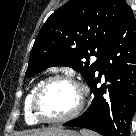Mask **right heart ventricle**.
<instances>
[{
    "instance_id": "obj_1",
    "label": "right heart ventricle",
    "mask_w": 136,
    "mask_h": 136,
    "mask_svg": "<svg viewBox=\"0 0 136 136\" xmlns=\"http://www.w3.org/2000/svg\"><path fill=\"white\" fill-rule=\"evenodd\" d=\"M39 84L34 85L30 91L28 92V94L25 97V101H24V114H25V120L28 124H36L38 123V120L33 116L32 111H31V99L32 96L37 88Z\"/></svg>"
}]
</instances>
